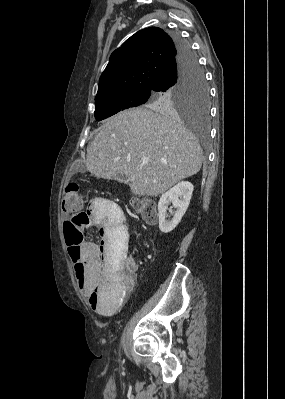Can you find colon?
Returning <instances> with one entry per match:
<instances>
[{"label": "colon", "instance_id": "1", "mask_svg": "<svg viewBox=\"0 0 285 399\" xmlns=\"http://www.w3.org/2000/svg\"><path fill=\"white\" fill-rule=\"evenodd\" d=\"M83 202L80 194V187L76 182L70 183L62 197V210L68 214V218L63 223L65 242L71 253L72 261L76 263L80 255V243L84 238L83 227L89 223V217L83 211ZM133 208L140 212L146 223L155 222L157 219V209L153 202L148 200H136L133 202ZM121 226L122 239L117 248L118 257H124L127 253V229L125 223L118 221ZM72 274L77 286H80L83 277V266H72Z\"/></svg>", "mask_w": 285, "mask_h": 399}]
</instances>
